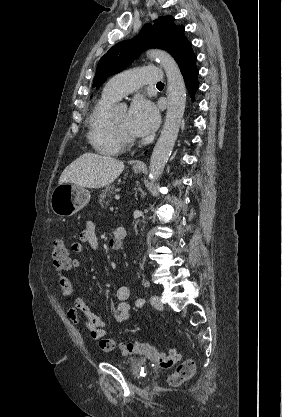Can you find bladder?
Instances as JSON below:
<instances>
[{
	"instance_id": "1",
	"label": "bladder",
	"mask_w": 282,
	"mask_h": 417,
	"mask_svg": "<svg viewBox=\"0 0 282 417\" xmlns=\"http://www.w3.org/2000/svg\"><path fill=\"white\" fill-rule=\"evenodd\" d=\"M123 367L134 378H141L148 372L147 364L141 359H130L123 362Z\"/></svg>"
}]
</instances>
